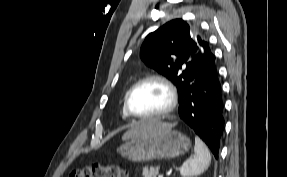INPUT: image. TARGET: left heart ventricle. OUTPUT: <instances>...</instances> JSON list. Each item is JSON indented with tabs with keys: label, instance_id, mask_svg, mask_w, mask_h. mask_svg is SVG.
I'll return each mask as SVG.
<instances>
[{
	"label": "left heart ventricle",
	"instance_id": "b2bd125f",
	"mask_svg": "<svg viewBox=\"0 0 287 177\" xmlns=\"http://www.w3.org/2000/svg\"><path fill=\"white\" fill-rule=\"evenodd\" d=\"M169 103L165 87L158 82L141 85L131 98L133 112L140 115L154 114L162 111Z\"/></svg>",
	"mask_w": 287,
	"mask_h": 177
}]
</instances>
